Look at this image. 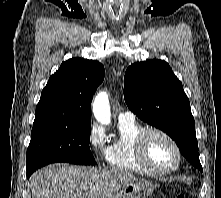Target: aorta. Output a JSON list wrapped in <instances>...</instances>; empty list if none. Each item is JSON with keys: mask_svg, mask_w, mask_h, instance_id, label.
Returning <instances> with one entry per match:
<instances>
[{"mask_svg": "<svg viewBox=\"0 0 221 198\" xmlns=\"http://www.w3.org/2000/svg\"><path fill=\"white\" fill-rule=\"evenodd\" d=\"M93 114L98 122L108 125L111 120L108 94L101 91L93 102Z\"/></svg>", "mask_w": 221, "mask_h": 198, "instance_id": "obj_1", "label": "aorta"}]
</instances>
